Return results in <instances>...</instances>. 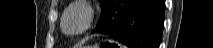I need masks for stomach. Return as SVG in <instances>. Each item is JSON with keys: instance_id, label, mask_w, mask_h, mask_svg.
Instances as JSON below:
<instances>
[{"instance_id": "stomach-1", "label": "stomach", "mask_w": 213, "mask_h": 48, "mask_svg": "<svg viewBox=\"0 0 213 48\" xmlns=\"http://www.w3.org/2000/svg\"><path fill=\"white\" fill-rule=\"evenodd\" d=\"M102 47V44H95L93 46H88V47H85V48H101Z\"/></svg>"}]
</instances>
